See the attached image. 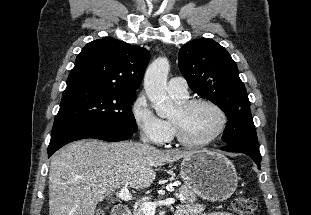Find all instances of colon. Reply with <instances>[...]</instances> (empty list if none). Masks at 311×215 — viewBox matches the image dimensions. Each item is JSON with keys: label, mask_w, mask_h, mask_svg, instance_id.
<instances>
[{"label": "colon", "mask_w": 311, "mask_h": 215, "mask_svg": "<svg viewBox=\"0 0 311 215\" xmlns=\"http://www.w3.org/2000/svg\"><path fill=\"white\" fill-rule=\"evenodd\" d=\"M232 208L238 215H254L257 200L254 197H237L232 201Z\"/></svg>", "instance_id": "5ec220e1"}]
</instances>
